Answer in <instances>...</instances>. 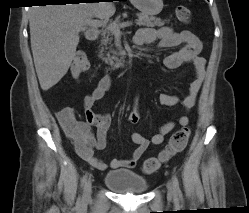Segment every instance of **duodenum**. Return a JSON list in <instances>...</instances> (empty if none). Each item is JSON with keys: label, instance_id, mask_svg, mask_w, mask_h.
Listing matches in <instances>:
<instances>
[{"label": "duodenum", "instance_id": "obj_1", "mask_svg": "<svg viewBox=\"0 0 249 213\" xmlns=\"http://www.w3.org/2000/svg\"><path fill=\"white\" fill-rule=\"evenodd\" d=\"M98 35L99 31L95 28L88 30L86 33L87 39L90 41H95L98 38Z\"/></svg>", "mask_w": 249, "mask_h": 213}]
</instances>
